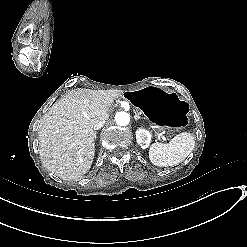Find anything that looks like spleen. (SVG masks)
Segmentation results:
<instances>
[{
	"instance_id": "spleen-1",
	"label": "spleen",
	"mask_w": 247,
	"mask_h": 247,
	"mask_svg": "<svg viewBox=\"0 0 247 247\" xmlns=\"http://www.w3.org/2000/svg\"><path fill=\"white\" fill-rule=\"evenodd\" d=\"M196 136L182 132L166 143H153L149 147V160L157 166H173L181 163L194 149Z\"/></svg>"
}]
</instances>
